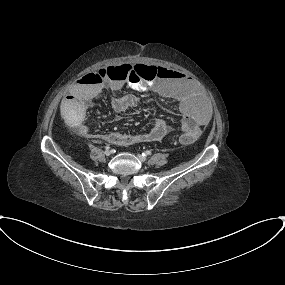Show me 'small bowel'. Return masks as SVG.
Returning a JSON list of instances; mask_svg holds the SVG:
<instances>
[{
	"label": "small bowel",
	"instance_id": "small-bowel-1",
	"mask_svg": "<svg viewBox=\"0 0 285 285\" xmlns=\"http://www.w3.org/2000/svg\"><path fill=\"white\" fill-rule=\"evenodd\" d=\"M122 66H111L119 70L115 78H108L105 82L90 84L78 80L71 89V93L64 97L60 105L63 118L78 127V132L93 139L104 140L117 147H126L141 143H150L163 139L170 131L171 125L163 118H156L153 126L141 133L91 134L88 125L83 124L89 111L90 102L105 88L119 90L130 85L135 90H153L157 95L177 102L182 113L180 128L182 133L196 132L200 134L202 128L209 121V110L206 102L197 92L192 78L179 70L163 71L160 78L153 82L143 83L133 81L129 71H122ZM133 95H122L113 99L114 109L120 111L137 104Z\"/></svg>",
	"mask_w": 285,
	"mask_h": 285
}]
</instances>
